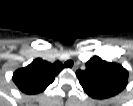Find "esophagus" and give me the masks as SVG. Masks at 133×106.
<instances>
[{
	"instance_id": "esophagus-1",
	"label": "esophagus",
	"mask_w": 133,
	"mask_h": 106,
	"mask_svg": "<svg viewBox=\"0 0 133 106\" xmlns=\"http://www.w3.org/2000/svg\"><path fill=\"white\" fill-rule=\"evenodd\" d=\"M77 68H78V65L77 64H75L73 67H72V70H77Z\"/></svg>"
}]
</instances>
